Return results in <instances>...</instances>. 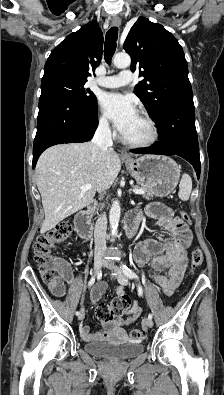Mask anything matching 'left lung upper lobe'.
<instances>
[{
	"label": "left lung upper lobe",
	"mask_w": 224,
	"mask_h": 395,
	"mask_svg": "<svg viewBox=\"0 0 224 395\" xmlns=\"http://www.w3.org/2000/svg\"><path fill=\"white\" fill-rule=\"evenodd\" d=\"M131 56V69H142L144 77L134 93L150 117L159 120L165 108L193 103L188 65L177 39L162 25L140 17L130 29L123 45Z\"/></svg>",
	"instance_id": "left-lung-upper-lobe-1"
}]
</instances>
